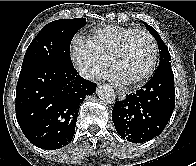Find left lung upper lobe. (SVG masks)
<instances>
[{
  "label": "left lung upper lobe",
  "instance_id": "5c2ea615",
  "mask_svg": "<svg viewBox=\"0 0 196 166\" xmlns=\"http://www.w3.org/2000/svg\"><path fill=\"white\" fill-rule=\"evenodd\" d=\"M145 26L150 31V33L156 38V41L158 43V47L160 50V63L171 61V56L168 51V48L163 42V40L161 39L160 35L157 33V31L153 27H151L147 23H145Z\"/></svg>",
  "mask_w": 196,
  "mask_h": 166
}]
</instances>
